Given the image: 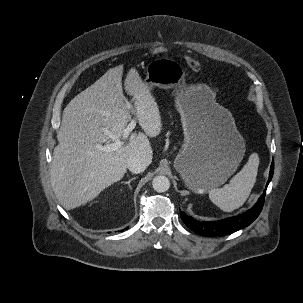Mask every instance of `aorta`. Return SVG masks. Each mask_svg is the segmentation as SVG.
I'll return each instance as SVG.
<instances>
[{
	"label": "aorta",
	"instance_id": "aorta-1",
	"mask_svg": "<svg viewBox=\"0 0 303 303\" xmlns=\"http://www.w3.org/2000/svg\"><path fill=\"white\" fill-rule=\"evenodd\" d=\"M152 186L155 191L162 193L169 189L170 181L166 176L158 175L154 177Z\"/></svg>",
	"mask_w": 303,
	"mask_h": 303
}]
</instances>
